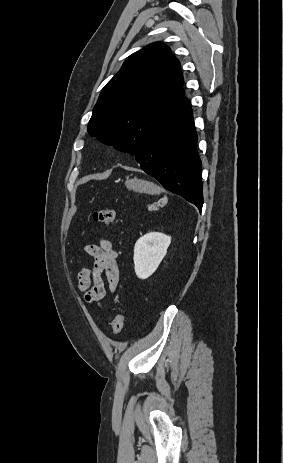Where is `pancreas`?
<instances>
[{
    "label": "pancreas",
    "mask_w": 283,
    "mask_h": 463,
    "mask_svg": "<svg viewBox=\"0 0 283 463\" xmlns=\"http://www.w3.org/2000/svg\"><path fill=\"white\" fill-rule=\"evenodd\" d=\"M156 209H157V208H156V206H154V205L148 206V210H149V211H153V210H156Z\"/></svg>",
    "instance_id": "cf45deb5"
}]
</instances>
